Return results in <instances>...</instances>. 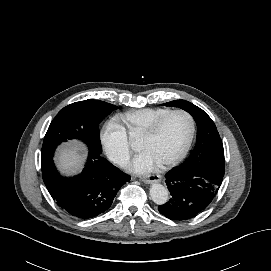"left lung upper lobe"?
Wrapping results in <instances>:
<instances>
[{"label":"left lung upper lobe","instance_id":"1","mask_svg":"<svg viewBox=\"0 0 271 271\" xmlns=\"http://www.w3.org/2000/svg\"><path fill=\"white\" fill-rule=\"evenodd\" d=\"M184 109L197 124V139L194 150L182 166L224 176L225 159L221 138L212 119L201 108L185 100L166 103Z\"/></svg>","mask_w":271,"mask_h":271}]
</instances>
